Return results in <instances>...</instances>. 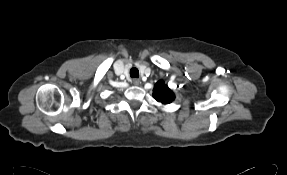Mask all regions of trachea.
Listing matches in <instances>:
<instances>
[{"instance_id":"trachea-1","label":"trachea","mask_w":287,"mask_h":175,"mask_svg":"<svg viewBox=\"0 0 287 175\" xmlns=\"http://www.w3.org/2000/svg\"><path fill=\"white\" fill-rule=\"evenodd\" d=\"M130 76L131 77H139V71H138V69L137 68H135V67H133V68H131V70H130Z\"/></svg>"}]
</instances>
